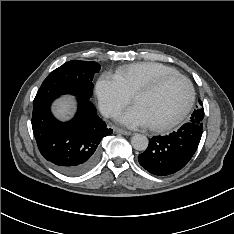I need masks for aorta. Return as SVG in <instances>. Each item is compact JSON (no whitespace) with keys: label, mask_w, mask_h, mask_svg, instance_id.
Instances as JSON below:
<instances>
[{"label":"aorta","mask_w":234,"mask_h":234,"mask_svg":"<svg viewBox=\"0 0 234 234\" xmlns=\"http://www.w3.org/2000/svg\"><path fill=\"white\" fill-rule=\"evenodd\" d=\"M132 147L138 151H144L148 147V138L143 134H134L131 138Z\"/></svg>","instance_id":"aorta-1"}]
</instances>
